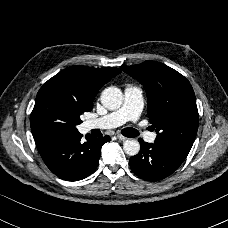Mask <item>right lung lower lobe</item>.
<instances>
[{
  "instance_id": "98d812e1",
  "label": "right lung lower lobe",
  "mask_w": 228,
  "mask_h": 228,
  "mask_svg": "<svg viewBox=\"0 0 228 228\" xmlns=\"http://www.w3.org/2000/svg\"><path fill=\"white\" fill-rule=\"evenodd\" d=\"M79 132L53 136L37 141V149L48 168L67 181H78L91 175L98 166L101 147L109 136H88L85 142Z\"/></svg>"
}]
</instances>
